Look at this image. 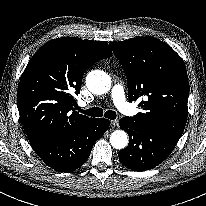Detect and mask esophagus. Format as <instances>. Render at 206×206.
<instances>
[{
    "label": "esophagus",
    "mask_w": 206,
    "mask_h": 206,
    "mask_svg": "<svg viewBox=\"0 0 206 206\" xmlns=\"http://www.w3.org/2000/svg\"><path fill=\"white\" fill-rule=\"evenodd\" d=\"M111 124L114 126V127H118V120H112L111 121Z\"/></svg>",
    "instance_id": "esophagus-1"
}]
</instances>
